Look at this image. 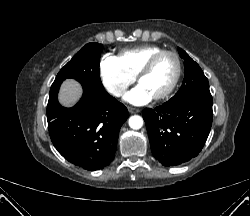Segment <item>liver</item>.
Returning <instances> with one entry per match:
<instances>
[{"label": "liver", "instance_id": "liver-1", "mask_svg": "<svg viewBox=\"0 0 250 216\" xmlns=\"http://www.w3.org/2000/svg\"><path fill=\"white\" fill-rule=\"evenodd\" d=\"M80 95V85L73 80H67L63 83L59 98L64 105L69 106L72 105L75 101H77Z\"/></svg>", "mask_w": 250, "mask_h": 216}]
</instances>
